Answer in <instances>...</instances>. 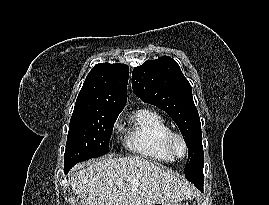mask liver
I'll return each mask as SVG.
<instances>
[{"mask_svg":"<svg viewBox=\"0 0 269 205\" xmlns=\"http://www.w3.org/2000/svg\"><path fill=\"white\" fill-rule=\"evenodd\" d=\"M71 187L83 205H151L194 198L193 186L136 156H108L75 170Z\"/></svg>","mask_w":269,"mask_h":205,"instance_id":"6515ba94","label":"liver"}]
</instances>
